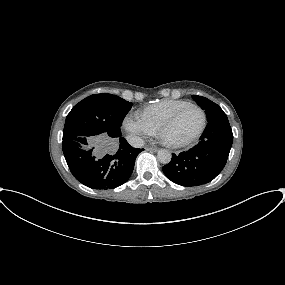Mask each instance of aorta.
<instances>
[{
    "instance_id": "obj_1",
    "label": "aorta",
    "mask_w": 285,
    "mask_h": 285,
    "mask_svg": "<svg viewBox=\"0 0 285 285\" xmlns=\"http://www.w3.org/2000/svg\"><path fill=\"white\" fill-rule=\"evenodd\" d=\"M157 158L162 164H168L171 161L172 155L166 149H160L157 153Z\"/></svg>"
}]
</instances>
